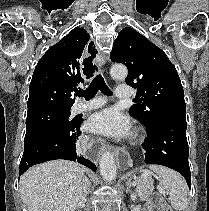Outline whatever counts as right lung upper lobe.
<instances>
[{
    "label": "right lung upper lobe",
    "mask_w": 209,
    "mask_h": 211,
    "mask_svg": "<svg viewBox=\"0 0 209 211\" xmlns=\"http://www.w3.org/2000/svg\"><path fill=\"white\" fill-rule=\"evenodd\" d=\"M88 41L86 30L76 27L46 51L30 82L28 112L74 105L73 92L97 71L92 63L96 52H90L91 56L85 58Z\"/></svg>",
    "instance_id": "right-lung-upper-lobe-1"
}]
</instances>
